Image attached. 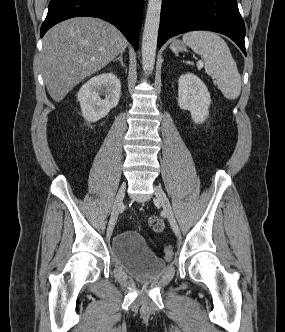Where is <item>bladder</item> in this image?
Listing matches in <instances>:
<instances>
[{"instance_id": "31cf9c89", "label": "bladder", "mask_w": 285, "mask_h": 332, "mask_svg": "<svg viewBox=\"0 0 285 332\" xmlns=\"http://www.w3.org/2000/svg\"><path fill=\"white\" fill-rule=\"evenodd\" d=\"M111 255L117 265L142 280L154 278L166 268V263L152 253L134 231L121 232L113 237Z\"/></svg>"}]
</instances>
